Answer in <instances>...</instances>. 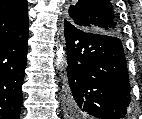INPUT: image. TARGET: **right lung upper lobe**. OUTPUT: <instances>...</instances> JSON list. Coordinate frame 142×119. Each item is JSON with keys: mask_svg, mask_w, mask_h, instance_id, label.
Here are the masks:
<instances>
[{"mask_svg": "<svg viewBox=\"0 0 142 119\" xmlns=\"http://www.w3.org/2000/svg\"><path fill=\"white\" fill-rule=\"evenodd\" d=\"M27 0H0V44L28 32Z\"/></svg>", "mask_w": 142, "mask_h": 119, "instance_id": "cb5924a9", "label": "right lung upper lobe"}]
</instances>
